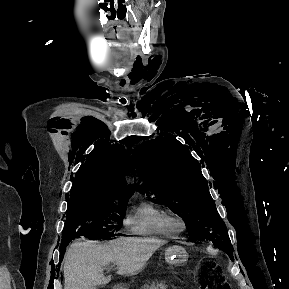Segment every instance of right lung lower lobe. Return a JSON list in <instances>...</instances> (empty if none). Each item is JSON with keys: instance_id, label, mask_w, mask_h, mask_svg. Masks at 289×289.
<instances>
[{"instance_id": "1", "label": "right lung lower lobe", "mask_w": 289, "mask_h": 289, "mask_svg": "<svg viewBox=\"0 0 289 289\" xmlns=\"http://www.w3.org/2000/svg\"><path fill=\"white\" fill-rule=\"evenodd\" d=\"M66 245L67 244H62V245H60V257L62 256V254H63V252H64V250H65V247H66Z\"/></svg>"}]
</instances>
